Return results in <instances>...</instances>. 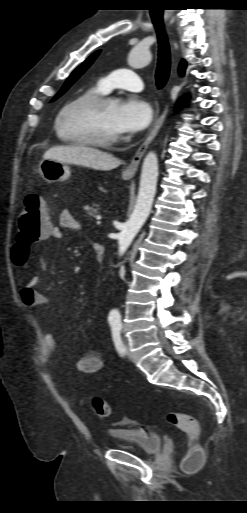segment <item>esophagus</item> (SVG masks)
I'll list each match as a JSON object with an SVG mask.
<instances>
[{
  "label": "esophagus",
  "mask_w": 247,
  "mask_h": 513,
  "mask_svg": "<svg viewBox=\"0 0 247 513\" xmlns=\"http://www.w3.org/2000/svg\"><path fill=\"white\" fill-rule=\"evenodd\" d=\"M164 116H165V111L160 115L159 110L158 109L155 110L154 120H153V123L151 124L148 135H147L146 139L144 140V142L138 148V150L135 153L134 157L132 158L130 164L125 169V171H124L125 175L134 176L135 173L137 172L139 163H140L144 153L146 152L149 144L155 138L159 129L162 126Z\"/></svg>",
  "instance_id": "obj_1"
}]
</instances>
